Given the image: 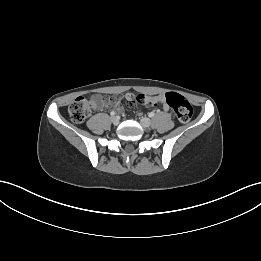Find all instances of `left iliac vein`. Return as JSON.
<instances>
[{
  "instance_id": "obj_1",
  "label": "left iliac vein",
  "mask_w": 261,
  "mask_h": 261,
  "mask_svg": "<svg viewBox=\"0 0 261 261\" xmlns=\"http://www.w3.org/2000/svg\"><path fill=\"white\" fill-rule=\"evenodd\" d=\"M140 123H141V125H142L143 127H145V128L150 127L151 124H152L151 120H150L149 118H147V117H142V118L140 119Z\"/></svg>"
}]
</instances>
